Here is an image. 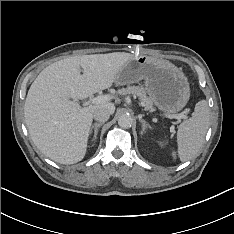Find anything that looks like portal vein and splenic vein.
<instances>
[{
	"label": "portal vein and splenic vein",
	"mask_w": 234,
	"mask_h": 234,
	"mask_svg": "<svg viewBox=\"0 0 234 234\" xmlns=\"http://www.w3.org/2000/svg\"><path fill=\"white\" fill-rule=\"evenodd\" d=\"M111 99H112L111 95H101V96H97V97L93 98L91 100V103L92 104H101V103H106V102L110 101ZM175 117L176 118H185L186 116L185 115H178Z\"/></svg>",
	"instance_id": "obj_1"
}]
</instances>
